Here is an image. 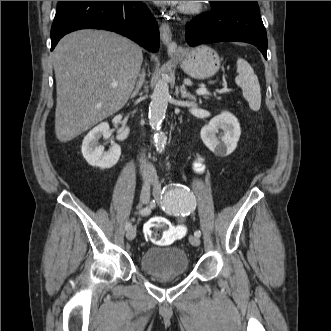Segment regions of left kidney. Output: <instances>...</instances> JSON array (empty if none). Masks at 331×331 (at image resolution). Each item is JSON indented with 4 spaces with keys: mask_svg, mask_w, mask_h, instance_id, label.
Segmentation results:
<instances>
[{
    "mask_svg": "<svg viewBox=\"0 0 331 331\" xmlns=\"http://www.w3.org/2000/svg\"><path fill=\"white\" fill-rule=\"evenodd\" d=\"M221 131L220 135L217 134ZM201 139L216 155L225 157L237 147L241 135L238 119L229 112L215 116L201 129Z\"/></svg>",
    "mask_w": 331,
    "mask_h": 331,
    "instance_id": "5707ae66",
    "label": "left kidney"
}]
</instances>
